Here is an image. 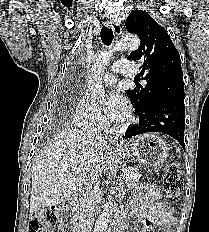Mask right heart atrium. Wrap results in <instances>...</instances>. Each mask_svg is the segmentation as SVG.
I'll list each match as a JSON object with an SVG mask.
<instances>
[{"mask_svg":"<svg viewBox=\"0 0 209 232\" xmlns=\"http://www.w3.org/2000/svg\"><path fill=\"white\" fill-rule=\"evenodd\" d=\"M72 121L76 127L84 131H97L106 124L105 117L88 96L80 98L73 112Z\"/></svg>","mask_w":209,"mask_h":232,"instance_id":"1","label":"right heart atrium"}]
</instances>
